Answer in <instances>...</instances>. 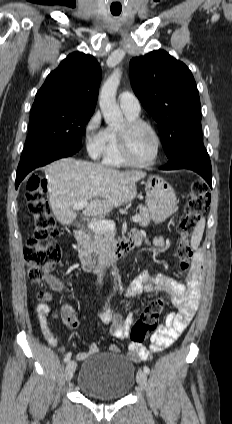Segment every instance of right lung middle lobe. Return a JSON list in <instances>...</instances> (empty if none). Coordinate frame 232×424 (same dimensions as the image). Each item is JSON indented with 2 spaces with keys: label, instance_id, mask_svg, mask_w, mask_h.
<instances>
[{
  "label": "right lung middle lobe",
  "instance_id": "obj_1",
  "mask_svg": "<svg viewBox=\"0 0 232 424\" xmlns=\"http://www.w3.org/2000/svg\"><path fill=\"white\" fill-rule=\"evenodd\" d=\"M94 111L50 105L30 111L29 132L22 155L43 145L81 146L82 131Z\"/></svg>",
  "mask_w": 232,
  "mask_h": 424
}]
</instances>
